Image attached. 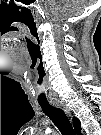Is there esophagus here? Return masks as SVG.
Listing matches in <instances>:
<instances>
[{
  "mask_svg": "<svg viewBox=\"0 0 101 135\" xmlns=\"http://www.w3.org/2000/svg\"><path fill=\"white\" fill-rule=\"evenodd\" d=\"M53 104L57 107L62 108L67 114H70V109L63 101L58 100V101L53 102Z\"/></svg>",
  "mask_w": 101,
  "mask_h": 135,
  "instance_id": "34e87169",
  "label": "esophagus"
}]
</instances>
